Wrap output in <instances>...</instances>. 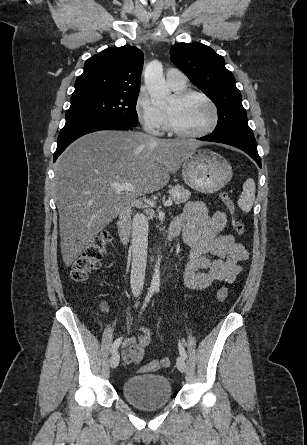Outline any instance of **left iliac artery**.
<instances>
[{"instance_id":"1","label":"left iliac artery","mask_w":307,"mask_h":445,"mask_svg":"<svg viewBox=\"0 0 307 445\" xmlns=\"http://www.w3.org/2000/svg\"><path fill=\"white\" fill-rule=\"evenodd\" d=\"M178 349H179V353H180L181 357L186 359V357H187L186 351L180 342L178 343Z\"/></svg>"}]
</instances>
